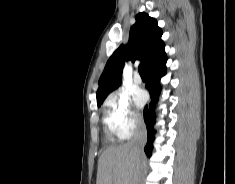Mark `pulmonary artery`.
<instances>
[{
  "mask_svg": "<svg viewBox=\"0 0 235 184\" xmlns=\"http://www.w3.org/2000/svg\"><path fill=\"white\" fill-rule=\"evenodd\" d=\"M133 81L136 85H140L142 83V78L137 72L133 75Z\"/></svg>",
  "mask_w": 235,
  "mask_h": 184,
  "instance_id": "pulmonary-artery-1",
  "label": "pulmonary artery"
}]
</instances>
